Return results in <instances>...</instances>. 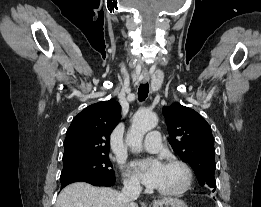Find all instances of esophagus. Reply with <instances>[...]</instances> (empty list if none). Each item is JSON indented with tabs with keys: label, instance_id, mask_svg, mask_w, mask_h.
I'll return each mask as SVG.
<instances>
[{
	"label": "esophagus",
	"instance_id": "34e87169",
	"mask_svg": "<svg viewBox=\"0 0 261 207\" xmlns=\"http://www.w3.org/2000/svg\"><path fill=\"white\" fill-rule=\"evenodd\" d=\"M147 81H149V75L146 74L142 77V82L146 83Z\"/></svg>",
	"mask_w": 261,
	"mask_h": 207
}]
</instances>
